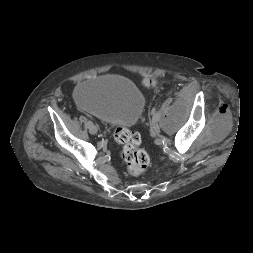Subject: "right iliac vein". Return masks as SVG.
Segmentation results:
<instances>
[{
  "mask_svg": "<svg viewBox=\"0 0 253 253\" xmlns=\"http://www.w3.org/2000/svg\"><path fill=\"white\" fill-rule=\"evenodd\" d=\"M89 131H90V133H92V134H96V133H97V127H96L95 125L91 124V125L89 126Z\"/></svg>",
  "mask_w": 253,
  "mask_h": 253,
  "instance_id": "obj_1",
  "label": "right iliac vein"
}]
</instances>
